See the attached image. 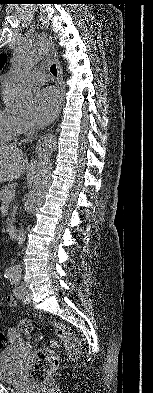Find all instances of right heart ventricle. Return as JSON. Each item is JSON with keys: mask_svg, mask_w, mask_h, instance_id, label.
<instances>
[{"mask_svg": "<svg viewBox=\"0 0 153 393\" xmlns=\"http://www.w3.org/2000/svg\"><path fill=\"white\" fill-rule=\"evenodd\" d=\"M19 130V118L0 107V143H6L17 138L20 135Z\"/></svg>", "mask_w": 153, "mask_h": 393, "instance_id": "e07e8e85", "label": "right heart ventricle"}]
</instances>
